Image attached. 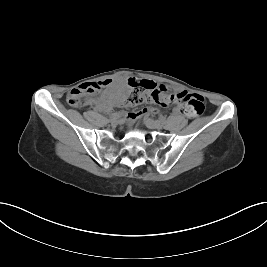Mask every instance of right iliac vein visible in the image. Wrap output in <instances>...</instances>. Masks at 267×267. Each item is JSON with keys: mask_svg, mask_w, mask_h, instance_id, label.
I'll use <instances>...</instances> for the list:
<instances>
[{"mask_svg": "<svg viewBox=\"0 0 267 267\" xmlns=\"http://www.w3.org/2000/svg\"><path fill=\"white\" fill-rule=\"evenodd\" d=\"M110 123L111 124H116V123H118V119L116 118V119H112V120H110Z\"/></svg>", "mask_w": 267, "mask_h": 267, "instance_id": "right-iliac-vein-1", "label": "right iliac vein"}]
</instances>
